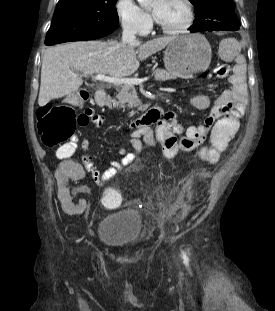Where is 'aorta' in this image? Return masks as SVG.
<instances>
[{
    "label": "aorta",
    "instance_id": "aorta-1",
    "mask_svg": "<svg viewBox=\"0 0 275 311\" xmlns=\"http://www.w3.org/2000/svg\"><path fill=\"white\" fill-rule=\"evenodd\" d=\"M137 1L142 7L150 6L154 2V0H137Z\"/></svg>",
    "mask_w": 275,
    "mask_h": 311
}]
</instances>
